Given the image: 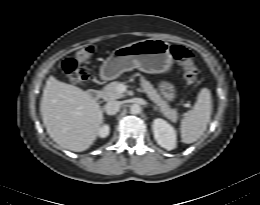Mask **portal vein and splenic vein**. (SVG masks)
Listing matches in <instances>:
<instances>
[{
	"label": "portal vein and splenic vein",
	"instance_id": "18ae733b",
	"mask_svg": "<svg viewBox=\"0 0 260 205\" xmlns=\"http://www.w3.org/2000/svg\"><path fill=\"white\" fill-rule=\"evenodd\" d=\"M126 89H127V86L124 85V84H120V85L118 86V91L121 92V93H122V92H125Z\"/></svg>",
	"mask_w": 260,
	"mask_h": 205
}]
</instances>
